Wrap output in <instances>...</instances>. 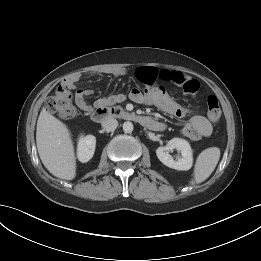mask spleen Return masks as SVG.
I'll return each instance as SVG.
<instances>
[{"instance_id": "obj_1", "label": "spleen", "mask_w": 261, "mask_h": 261, "mask_svg": "<svg viewBox=\"0 0 261 261\" xmlns=\"http://www.w3.org/2000/svg\"><path fill=\"white\" fill-rule=\"evenodd\" d=\"M220 158V149L218 147H210L203 150L197 157L193 179L191 185L199 184L205 181L214 171Z\"/></svg>"}]
</instances>
